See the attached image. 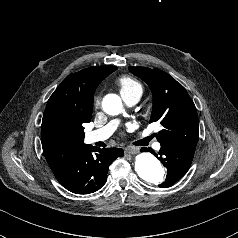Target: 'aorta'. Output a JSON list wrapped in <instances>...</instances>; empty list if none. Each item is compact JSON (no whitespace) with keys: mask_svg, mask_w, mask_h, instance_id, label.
<instances>
[{"mask_svg":"<svg viewBox=\"0 0 238 238\" xmlns=\"http://www.w3.org/2000/svg\"><path fill=\"white\" fill-rule=\"evenodd\" d=\"M103 110L109 115H118L123 110L120 97L109 94L102 102ZM135 170L147 183L157 186L164 181L165 171L160 162L149 152H142L135 158Z\"/></svg>","mask_w":238,"mask_h":238,"instance_id":"762f6f07","label":"aorta"}]
</instances>
